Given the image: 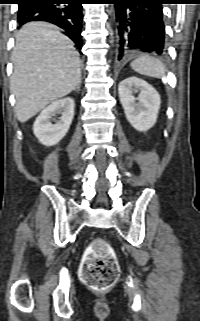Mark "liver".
I'll use <instances>...</instances> for the list:
<instances>
[{
  "label": "liver",
  "mask_w": 200,
  "mask_h": 321,
  "mask_svg": "<svg viewBox=\"0 0 200 321\" xmlns=\"http://www.w3.org/2000/svg\"><path fill=\"white\" fill-rule=\"evenodd\" d=\"M11 59L10 89L21 123L68 95L81 81L80 58L73 42L48 23L24 25L16 34Z\"/></svg>",
  "instance_id": "obj_1"
}]
</instances>
